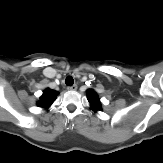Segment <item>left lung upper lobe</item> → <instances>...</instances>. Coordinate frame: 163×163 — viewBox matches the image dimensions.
Returning a JSON list of instances; mask_svg holds the SVG:
<instances>
[{"instance_id":"left-lung-upper-lobe-1","label":"left lung upper lobe","mask_w":163,"mask_h":163,"mask_svg":"<svg viewBox=\"0 0 163 163\" xmlns=\"http://www.w3.org/2000/svg\"><path fill=\"white\" fill-rule=\"evenodd\" d=\"M87 98H88V101L91 105V108L94 110V111H101L102 108H101V102L96 94L95 91L91 90V89H88L87 90Z\"/></svg>"}]
</instances>
